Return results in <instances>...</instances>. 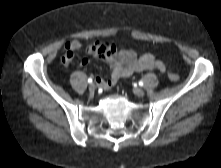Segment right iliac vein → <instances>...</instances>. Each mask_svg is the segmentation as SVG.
<instances>
[{
	"label": "right iliac vein",
	"instance_id": "obj_1",
	"mask_svg": "<svg viewBox=\"0 0 221 168\" xmlns=\"http://www.w3.org/2000/svg\"><path fill=\"white\" fill-rule=\"evenodd\" d=\"M95 90H96L95 84H90V85H89V91H90V93H94Z\"/></svg>",
	"mask_w": 221,
	"mask_h": 168
}]
</instances>
